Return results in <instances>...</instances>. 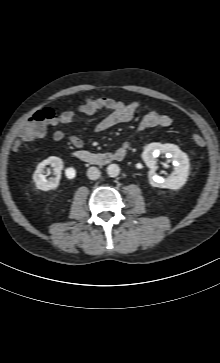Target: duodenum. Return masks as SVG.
Returning a JSON list of instances; mask_svg holds the SVG:
<instances>
[{
  "label": "duodenum",
  "mask_w": 220,
  "mask_h": 363,
  "mask_svg": "<svg viewBox=\"0 0 220 363\" xmlns=\"http://www.w3.org/2000/svg\"><path fill=\"white\" fill-rule=\"evenodd\" d=\"M127 154V150L125 148H121L112 153H93L85 150L76 151L74 156L85 163H89L96 166L108 165L113 162L122 161Z\"/></svg>",
  "instance_id": "1"
}]
</instances>
